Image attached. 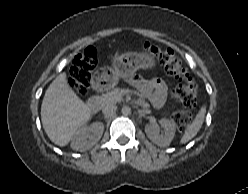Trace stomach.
<instances>
[{
    "label": "stomach",
    "mask_w": 248,
    "mask_h": 194,
    "mask_svg": "<svg viewBox=\"0 0 248 194\" xmlns=\"http://www.w3.org/2000/svg\"><path fill=\"white\" fill-rule=\"evenodd\" d=\"M156 66V61L144 53H124L113 60V68L103 72V80L108 87L115 86L119 79L128 78L136 71L149 70Z\"/></svg>",
    "instance_id": "1"
}]
</instances>
